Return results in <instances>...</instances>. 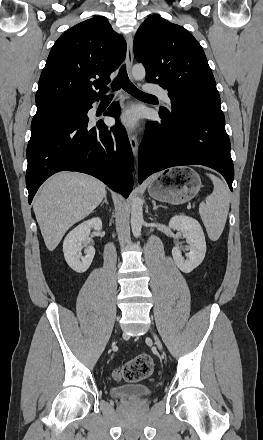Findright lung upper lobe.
Returning <instances> with one entry per match:
<instances>
[{
  "mask_svg": "<svg viewBox=\"0 0 263 440\" xmlns=\"http://www.w3.org/2000/svg\"><path fill=\"white\" fill-rule=\"evenodd\" d=\"M125 54L124 38L106 18L94 17L75 25L59 37L50 51L38 83L37 108L102 97L111 81L110 74Z\"/></svg>",
  "mask_w": 263,
  "mask_h": 440,
  "instance_id": "cb5924a9",
  "label": "right lung upper lobe"
}]
</instances>
